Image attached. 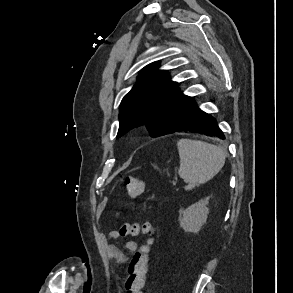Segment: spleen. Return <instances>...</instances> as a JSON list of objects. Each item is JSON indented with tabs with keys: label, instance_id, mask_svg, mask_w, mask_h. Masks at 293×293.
Here are the masks:
<instances>
[{
	"label": "spleen",
	"instance_id": "spleen-1",
	"mask_svg": "<svg viewBox=\"0 0 293 293\" xmlns=\"http://www.w3.org/2000/svg\"><path fill=\"white\" fill-rule=\"evenodd\" d=\"M180 157L179 176L188 183L185 190H192L211 180L225 163V151L216 145L191 139L177 143Z\"/></svg>",
	"mask_w": 293,
	"mask_h": 293
}]
</instances>
